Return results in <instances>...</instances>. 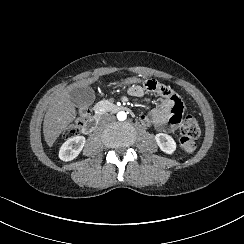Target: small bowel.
Returning a JSON list of instances; mask_svg holds the SVG:
<instances>
[{"label":"small bowel","instance_id":"obj_1","mask_svg":"<svg viewBox=\"0 0 244 244\" xmlns=\"http://www.w3.org/2000/svg\"><path fill=\"white\" fill-rule=\"evenodd\" d=\"M127 93L132 97H142L146 93H155L161 97L159 107L141 114L139 122L145 127L155 126L159 131H167L178 123L183 111L181 98L169 87L154 79H133L127 86Z\"/></svg>","mask_w":244,"mask_h":244}]
</instances>
